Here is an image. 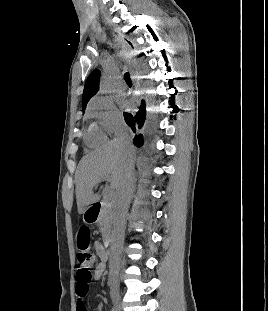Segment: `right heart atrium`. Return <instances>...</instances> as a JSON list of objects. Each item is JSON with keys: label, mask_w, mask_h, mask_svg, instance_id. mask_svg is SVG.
Segmentation results:
<instances>
[{"label": "right heart atrium", "mask_w": 268, "mask_h": 311, "mask_svg": "<svg viewBox=\"0 0 268 311\" xmlns=\"http://www.w3.org/2000/svg\"><path fill=\"white\" fill-rule=\"evenodd\" d=\"M88 113L108 134H115L122 128L121 114L116 109L112 99L107 96L94 98L89 105Z\"/></svg>", "instance_id": "d8ad5b80"}]
</instances>
